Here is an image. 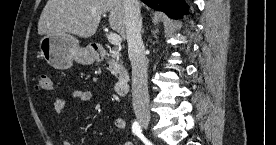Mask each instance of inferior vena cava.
<instances>
[{"label": "inferior vena cava", "mask_w": 276, "mask_h": 145, "mask_svg": "<svg viewBox=\"0 0 276 145\" xmlns=\"http://www.w3.org/2000/svg\"><path fill=\"white\" fill-rule=\"evenodd\" d=\"M126 9L128 56L132 66V104L136 116L149 115L148 60L141 37L142 17L138 0H123Z\"/></svg>", "instance_id": "602c4592"}]
</instances>
